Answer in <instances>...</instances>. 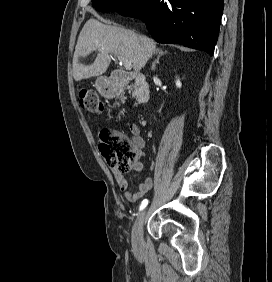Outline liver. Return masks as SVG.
Masks as SVG:
<instances>
[{
    "label": "liver",
    "instance_id": "6515ba94",
    "mask_svg": "<svg viewBox=\"0 0 272 282\" xmlns=\"http://www.w3.org/2000/svg\"><path fill=\"white\" fill-rule=\"evenodd\" d=\"M98 51L91 65L79 62L93 51ZM156 52V43L149 37L134 31L106 25L96 19H89L83 26L75 48L73 77L76 81L102 75L109 67V54L120 56L132 63L137 74Z\"/></svg>",
    "mask_w": 272,
    "mask_h": 282
}]
</instances>
